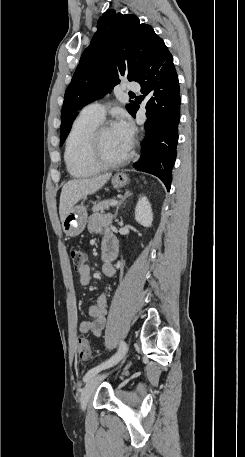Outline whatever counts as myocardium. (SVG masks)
<instances>
[{
    "label": "myocardium",
    "instance_id": "obj_1",
    "mask_svg": "<svg viewBox=\"0 0 245 457\" xmlns=\"http://www.w3.org/2000/svg\"><path fill=\"white\" fill-rule=\"evenodd\" d=\"M112 128L108 123H98L91 128L85 136L83 150L81 152V160L83 164L92 168L93 170L107 169L118 166L131 158L132 146L129 145L128 150L120 157L114 159H103L100 161L92 157L91 149L95 140H97L104 131Z\"/></svg>",
    "mask_w": 245,
    "mask_h": 457
}]
</instances>
